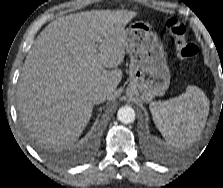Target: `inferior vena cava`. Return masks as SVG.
<instances>
[{"label": "inferior vena cava", "instance_id": "inferior-vena-cava-1", "mask_svg": "<svg viewBox=\"0 0 223 188\" xmlns=\"http://www.w3.org/2000/svg\"><path fill=\"white\" fill-rule=\"evenodd\" d=\"M90 98L94 104H99L108 99V93L105 90H95L91 92Z\"/></svg>", "mask_w": 223, "mask_h": 188}]
</instances>
